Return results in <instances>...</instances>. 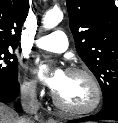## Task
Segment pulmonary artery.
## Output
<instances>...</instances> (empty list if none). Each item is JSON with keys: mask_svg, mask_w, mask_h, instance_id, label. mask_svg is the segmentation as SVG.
<instances>
[{"mask_svg": "<svg viewBox=\"0 0 118 123\" xmlns=\"http://www.w3.org/2000/svg\"><path fill=\"white\" fill-rule=\"evenodd\" d=\"M35 45L43 50L61 53L68 47V39L66 34L61 30L42 36L36 39Z\"/></svg>", "mask_w": 118, "mask_h": 123, "instance_id": "pulmonary-artery-1", "label": "pulmonary artery"}]
</instances>
